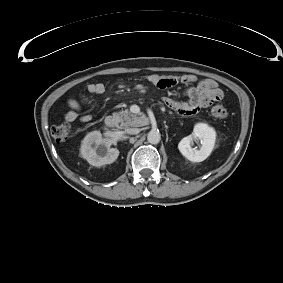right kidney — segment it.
<instances>
[{
  "instance_id": "1",
  "label": "right kidney",
  "mask_w": 283,
  "mask_h": 283,
  "mask_svg": "<svg viewBox=\"0 0 283 283\" xmlns=\"http://www.w3.org/2000/svg\"><path fill=\"white\" fill-rule=\"evenodd\" d=\"M111 140L99 131L88 133L81 143V155L89 164L100 167L113 163L119 156L117 148H110Z\"/></svg>"
}]
</instances>
